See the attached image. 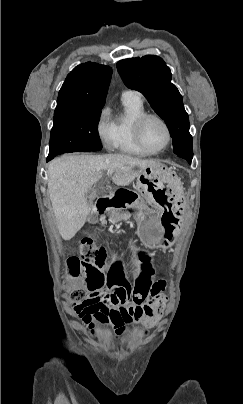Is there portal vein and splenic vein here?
<instances>
[{
	"label": "portal vein and splenic vein",
	"mask_w": 243,
	"mask_h": 404,
	"mask_svg": "<svg viewBox=\"0 0 243 404\" xmlns=\"http://www.w3.org/2000/svg\"><path fill=\"white\" fill-rule=\"evenodd\" d=\"M107 174H113V170H108Z\"/></svg>",
	"instance_id": "obj_1"
}]
</instances>
